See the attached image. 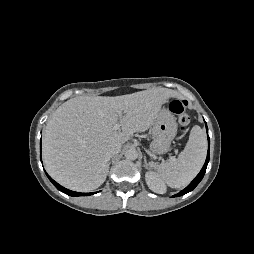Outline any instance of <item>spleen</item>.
I'll list each match as a JSON object with an SVG mask.
<instances>
[{"instance_id":"1","label":"spleen","mask_w":254,"mask_h":254,"mask_svg":"<svg viewBox=\"0 0 254 254\" xmlns=\"http://www.w3.org/2000/svg\"><path fill=\"white\" fill-rule=\"evenodd\" d=\"M207 153L205 132L198 126L192 127L189 140L177 159L160 164H151L158 176L171 188L189 184L202 168Z\"/></svg>"}]
</instances>
